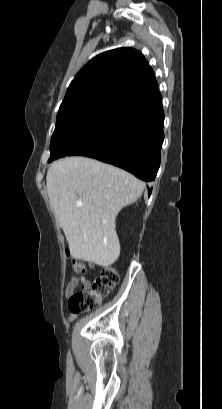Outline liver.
Returning a JSON list of instances; mask_svg holds the SVG:
<instances>
[{"label": "liver", "instance_id": "1", "mask_svg": "<svg viewBox=\"0 0 222 409\" xmlns=\"http://www.w3.org/2000/svg\"><path fill=\"white\" fill-rule=\"evenodd\" d=\"M46 183L72 256L102 267L116 262L120 255L116 217L141 197L145 185L120 168L81 156L54 162Z\"/></svg>", "mask_w": 222, "mask_h": 409}]
</instances>
